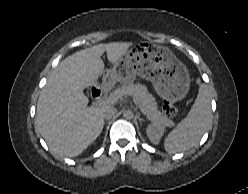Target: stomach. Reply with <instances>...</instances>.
Masks as SVG:
<instances>
[{
	"mask_svg": "<svg viewBox=\"0 0 248 194\" xmlns=\"http://www.w3.org/2000/svg\"><path fill=\"white\" fill-rule=\"evenodd\" d=\"M136 76L152 82L164 99L180 100L190 87L188 70L166 47L143 43L127 51L103 77L104 83H132Z\"/></svg>",
	"mask_w": 248,
	"mask_h": 194,
	"instance_id": "stomach-1",
	"label": "stomach"
}]
</instances>
